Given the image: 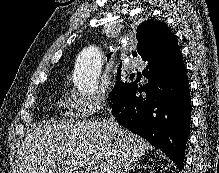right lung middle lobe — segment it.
Listing matches in <instances>:
<instances>
[{"label":"right lung middle lobe","instance_id":"1","mask_svg":"<svg viewBox=\"0 0 219 173\" xmlns=\"http://www.w3.org/2000/svg\"><path fill=\"white\" fill-rule=\"evenodd\" d=\"M120 76H121V74L118 70L116 84H115L114 88L112 89V92L109 94L111 101H113L120 93H122L128 85L127 82L121 81Z\"/></svg>","mask_w":219,"mask_h":173}]
</instances>
